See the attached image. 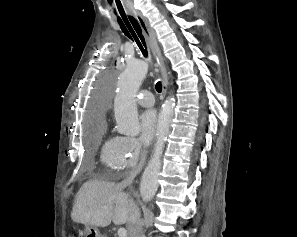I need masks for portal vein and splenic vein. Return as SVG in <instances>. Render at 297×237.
Wrapping results in <instances>:
<instances>
[{"mask_svg":"<svg viewBox=\"0 0 297 237\" xmlns=\"http://www.w3.org/2000/svg\"><path fill=\"white\" fill-rule=\"evenodd\" d=\"M126 235H127V232H126V230L124 228H120L118 230V236L119 237H126Z\"/></svg>","mask_w":297,"mask_h":237,"instance_id":"obj_1","label":"portal vein and splenic vein"}]
</instances>
